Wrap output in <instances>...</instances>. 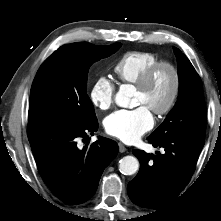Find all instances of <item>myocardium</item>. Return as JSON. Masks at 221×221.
<instances>
[{"instance_id":"f54148a6","label":"myocardium","mask_w":221,"mask_h":221,"mask_svg":"<svg viewBox=\"0 0 221 221\" xmlns=\"http://www.w3.org/2000/svg\"><path fill=\"white\" fill-rule=\"evenodd\" d=\"M162 68H167L171 71L173 76V84L170 97L166 104L160 109L153 110V112L158 116H165L170 113L178 100L181 89V73L179 68L174 63L168 60L157 61L150 67H148L135 83L136 89L144 91L148 87L156 73Z\"/></svg>"}]
</instances>
